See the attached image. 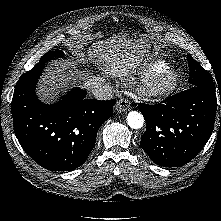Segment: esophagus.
Returning <instances> with one entry per match:
<instances>
[{"label": "esophagus", "instance_id": "obj_1", "mask_svg": "<svg viewBox=\"0 0 221 221\" xmlns=\"http://www.w3.org/2000/svg\"><path fill=\"white\" fill-rule=\"evenodd\" d=\"M116 110L118 112H126L130 110V101L125 98H120L116 104Z\"/></svg>", "mask_w": 221, "mask_h": 221}]
</instances>
